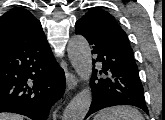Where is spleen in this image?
Returning <instances> with one entry per match:
<instances>
[{
  "instance_id": "spleen-1",
  "label": "spleen",
  "mask_w": 165,
  "mask_h": 120,
  "mask_svg": "<svg viewBox=\"0 0 165 120\" xmlns=\"http://www.w3.org/2000/svg\"><path fill=\"white\" fill-rule=\"evenodd\" d=\"M94 120H144V117L133 107L116 106L100 111Z\"/></svg>"
}]
</instances>
